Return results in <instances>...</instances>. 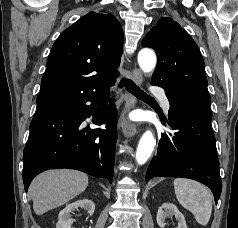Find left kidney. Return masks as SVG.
<instances>
[{"label": "left kidney", "mask_w": 238, "mask_h": 228, "mask_svg": "<svg viewBox=\"0 0 238 228\" xmlns=\"http://www.w3.org/2000/svg\"><path fill=\"white\" fill-rule=\"evenodd\" d=\"M175 216L178 221V225L176 228H188L186 225V221L184 215L178 210V208L171 202L163 203L161 207H159L157 212V223L161 228H164L166 223L165 219L170 216Z\"/></svg>", "instance_id": "5707ae66"}]
</instances>
